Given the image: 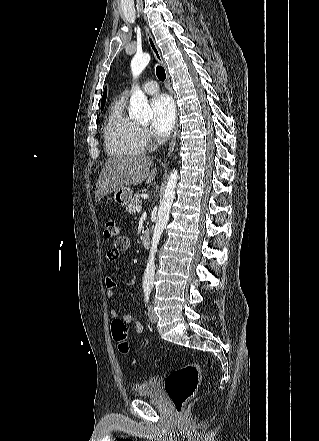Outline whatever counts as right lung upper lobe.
Returning a JSON list of instances; mask_svg holds the SVG:
<instances>
[{"label": "right lung upper lobe", "instance_id": "right-lung-upper-lobe-1", "mask_svg": "<svg viewBox=\"0 0 319 441\" xmlns=\"http://www.w3.org/2000/svg\"><path fill=\"white\" fill-rule=\"evenodd\" d=\"M106 96H107V88H105V90H104V94H103L102 101H101V106L105 105Z\"/></svg>", "mask_w": 319, "mask_h": 441}]
</instances>
